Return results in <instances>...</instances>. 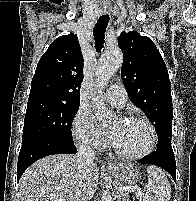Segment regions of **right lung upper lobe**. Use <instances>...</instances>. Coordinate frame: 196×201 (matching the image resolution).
Segmentation results:
<instances>
[{"label": "right lung upper lobe", "instance_id": "obj_1", "mask_svg": "<svg viewBox=\"0 0 196 201\" xmlns=\"http://www.w3.org/2000/svg\"><path fill=\"white\" fill-rule=\"evenodd\" d=\"M82 80L83 56L78 37L74 34L61 36L51 43L40 58L28 101L80 103Z\"/></svg>", "mask_w": 196, "mask_h": 201}]
</instances>
